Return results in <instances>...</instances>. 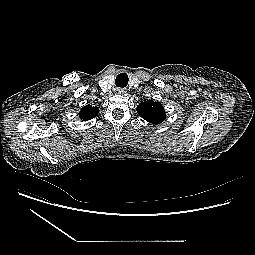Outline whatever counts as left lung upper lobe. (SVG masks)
Returning <instances> with one entry per match:
<instances>
[{"label": "left lung upper lobe", "mask_w": 255, "mask_h": 255, "mask_svg": "<svg viewBox=\"0 0 255 255\" xmlns=\"http://www.w3.org/2000/svg\"><path fill=\"white\" fill-rule=\"evenodd\" d=\"M137 112L144 120L152 124H159L166 117L162 104L153 100L142 101L137 106Z\"/></svg>", "instance_id": "1"}]
</instances>
